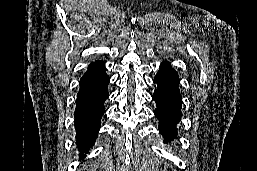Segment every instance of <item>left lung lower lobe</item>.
I'll list each match as a JSON object with an SVG mask.
<instances>
[{
	"label": "left lung lower lobe",
	"instance_id": "0a47b994",
	"mask_svg": "<svg viewBox=\"0 0 257 171\" xmlns=\"http://www.w3.org/2000/svg\"><path fill=\"white\" fill-rule=\"evenodd\" d=\"M179 76L168 62H163L154 78L157 88L153 93L156 102L155 115L159 119L158 129L165 142L177 135L176 125L181 118V95L178 89Z\"/></svg>",
	"mask_w": 257,
	"mask_h": 171
}]
</instances>
